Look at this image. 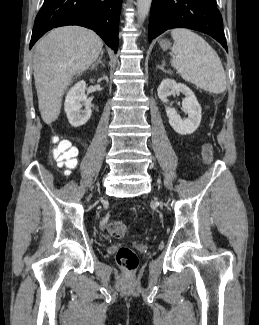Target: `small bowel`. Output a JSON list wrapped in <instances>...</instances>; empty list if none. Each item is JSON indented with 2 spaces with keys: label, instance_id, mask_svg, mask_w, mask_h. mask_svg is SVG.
Listing matches in <instances>:
<instances>
[{
  "label": "small bowel",
  "instance_id": "c3829d8e",
  "mask_svg": "<svg viewBox=\"0 0 259 325\" xmlns=\"http://www.w3.org/2000/svg\"><path fill=\"white\" fill-rule=\"evenodd\" d=\"M67 142H68V141H67ZM68 143L70 144V142H68ZM70 145H71V144H70ZM71 146H72V145H71ZM72 147H73V149H75V151L77 152V148L74 147V146H72ZM105 220H106V219L103 220V223L105 222Z\"/></svg>",
  "mask_w": 259,
  "mask_h": 325
}]
</instances>
